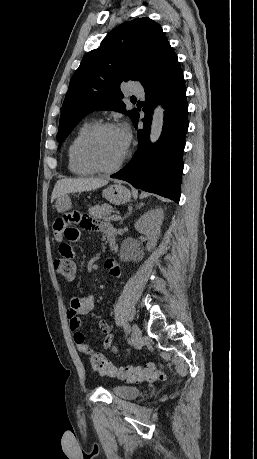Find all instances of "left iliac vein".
Here are the masks:
<instances>
[{
	"mask_svg": "<svg viewBox=\"0 0 257 459\" xmlns=\"http://www.w3.org/2000/svg\"><path fill=\"white\" fill-rule=\"evenodd\" d=\"M141 330L140 328L136 325L133 324L132 330H131V338L133 341L138 342L141 339Z\"/></svg>",
	"mask_w": 257,
	"mask_h": 459,
	"instance_id": "obj_1",
	"label": "left iliac vein"
}]
</instances>
